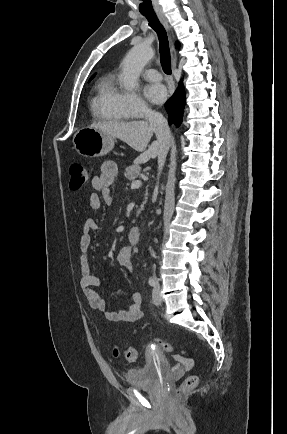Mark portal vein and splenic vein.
<instances>
[{"instance_id": "obj_1", "label": "portal vein and splenic vein", "mask_w": 287, "mask_h": 434, "mask_svg": "<svg viewBox=\"0 0 287 434\" xmlns=\"http://www.w3.org/2000/svg\"><path fill=\"white\" fill-rule=\"evenodd\" d=\"M142 185L141 180H135L132 182L131 187L132 188H139Z\"/></svg>"}]
</instances>
